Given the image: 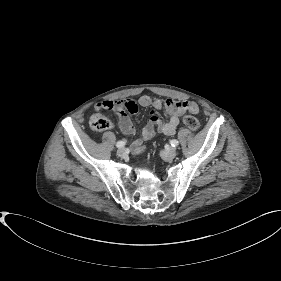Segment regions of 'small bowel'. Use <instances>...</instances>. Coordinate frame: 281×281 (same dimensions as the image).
<instances>
[{
    "label": "small bowel",
    "mask_w": 281,
    "mask_h": 281,
    "mask_svg": "<svg viewBox=\"0 0 281 281\" xmlns=\"http://www.w3.org/2000/svg\"><path fill=\"white\" fill-rule=\"evenodd\" d=\"M188 101H174L171 99L162 101L152 99L149 96H142L138 100L124 99L120 101H102L95 105V111L111 109L117 113L119 117V128L123 135L132 136L135 133V128L128 116V113H134L139 106H151L154 110L164 111L166 121H161L155 111L151 112L150 120L142 130L141 138L136 140L131 146L133 154H141L144 151V143L152 139L155 135V129L164 135H173L176 132L179 124V117L187 110L191 111L186 106ZM193 112V111H192Z\"/></svg>",
    "instance_id": "obj_1"
}]
</instances>
